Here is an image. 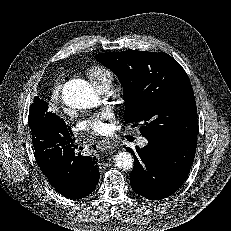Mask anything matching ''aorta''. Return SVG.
<instances>
[{"label": "aorta", "mask_w": 231, "mask_h": 231, "mask_svg": "<svg viewBox=\"0 0 231 231\" xmlns=\"http://www.w3.org/2000/svg\"><path fill=\"white\" fill-rule=\"evenodd\" d=\"M64 103L72 108H89L97 104V95L91 84L83 79H72L64 84L62 90ZM115 165L123 170H130L134 165V158L129 152H119L115 156Z\"/></svg>", "instance_id": "aorta-1"}]
</instances>
